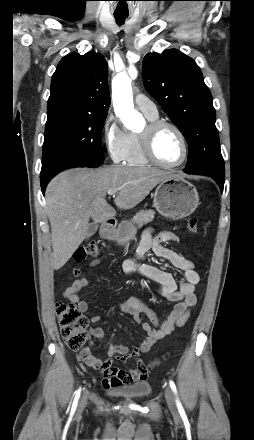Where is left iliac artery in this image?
<instances>
[{
	"label": "left iliac artery",
	"instance_id": "left-iliac-artery-1",
	"mask_svg": "<svg viewBox=\"0 0 254 440\" xmlns=\"http://www.w3.org/2000/svg\"><path fill=\"white\" fill-rule=\"evenodd\" d=\"M169 384H170V387H171L172 391L174 392V394L177 395V389H176L175 383L170 380ZM176 404H177L179 412H184V409H183L181 402L179 401L178 398L176 399Z\"/></svg>",
	"mask_w": 254,
	"mask_h": 440
}]
</instances>
